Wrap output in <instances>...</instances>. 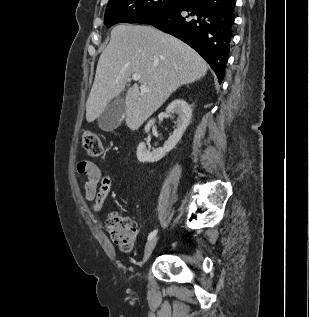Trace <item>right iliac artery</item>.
<instances>
[{
    "mask_svg": "<svg viewBox=\"0 0 309 317\" xmlns=\"http://www.w3.org/2000/svg\"><path fill=\"white\" fill-rule=\"evenodd\" d=\"M157 232H158L157 229L154 230V231H152V232L148 235V241H150L151 239H153V238L156 236Z\"/></svg>",
    "mask_w": 309,
    "mask_h": 317,
    "instance_id": "right-iliac-artery-1",
    "label": "right iliac artery"
}]
</instances>
